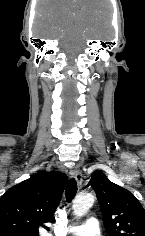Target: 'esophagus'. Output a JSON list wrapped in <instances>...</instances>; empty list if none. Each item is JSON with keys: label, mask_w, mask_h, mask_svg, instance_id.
I'll list each match as a JSON object with an SVG mask.
<instances>
[{"label": "esophagus", "mask_w": 145, "mask_h": 236, "mask_svg": "<svg viewBox=\"0 0 145 236\" xmlns=\"http://www.w3.org/2000/svg\"><path fill=\"white\" fill-rule=\"evenodd\" d=\"M70 175L77 181V183L79 185H81V183H82V174L77 168H75V167L71 168L70 169Z\"/></svg>", "instance_id": "esophagus-1"}]
</instances>
